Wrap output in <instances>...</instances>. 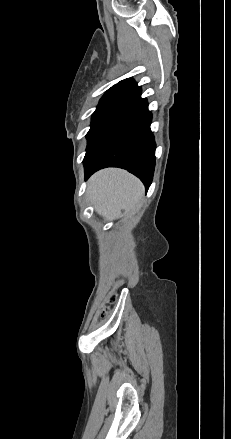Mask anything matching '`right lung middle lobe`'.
Masks as SVG:
<instances>
[{
  "label": "right lung middle lobe",
  "mask_w": 231,
  "mask_h": 439,
  "mask_svg": "<svg viewBox=\"0 0 231 439\" xmlns=\"http://www.w3.org/2000/svg\"><path fill=\"white\" fill-rule=\"evenodd\" d=\"M141 113L135 97L100 100L92 116L91 128L86 135V155L113 130L138 118Z\"/></svg>",
  "instance_id": "dd1d6c3e"
}]
</instances>
